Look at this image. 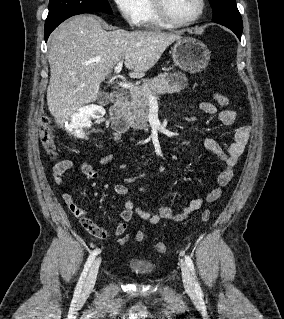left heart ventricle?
<instances>
[{
	"instance_id": "obj_1",
	"label": "left heart ventricle",
	"mask_w": 284,
	"mask_h": 319,
	"mask_svg": "<svg viewBox=\"0 0 284 319\" xmlns=\"http://www.w3.org/2000/svg\"><path fill=\"white\" fill-rule=\"evenodd\" d=\"M170 14L177 19H190L199 9V0H165Z\"/></svg>"
}]
</instances>
